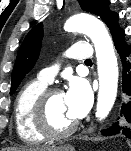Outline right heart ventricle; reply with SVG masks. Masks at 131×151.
<instances>
[{
    "mask_svg": "<svg viewBox=\"0 0 131 151\" xmlns=\"http://www.w3.org/2000/svg\"><path fill=\"white\" fill-rule=\"evenodd\" d=\"M47 88V84L40 79L27 83L18 93L14 106V124L19 138L29 144L42 142L41 135L33 120L34 107L38 97Z\"/></svg>",
    "mask_w": 131,
    "mask_h": 151,
    "instance_id": "obj_1",
    "label": "right heart ventricle"
}]
</instances>
